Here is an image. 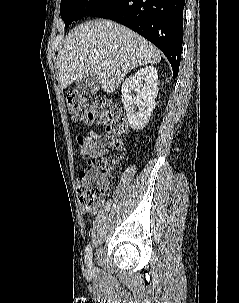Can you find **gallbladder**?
Segmentation results:
<instances>
[{
  "label": "gallbladder",
  "instance_id": "gallbladder-1",
  "mask_svg": "<svg viewBox=\"0 0 239 303\" xmlns=\"http://www.w3.org/2000/svg\"><path fill=\"white\" fill-rule=\"evenodd\" d=\"M76 87L82 94L91 96L100 88V80L92 74L77 81Z\"/></svg>",
  "mask_w": 239,
  "mask_h": 303
}]
</instances>
